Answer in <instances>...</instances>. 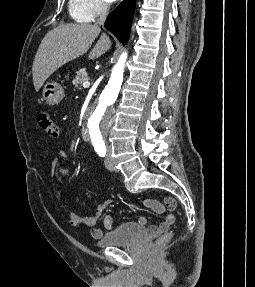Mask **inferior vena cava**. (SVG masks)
I'll use <instances>...</instances> for the list:
<instances>
[{
	"mask_svg": "<svg viewBox=\"0 0 255 287\" xmlns=\"http://www.w3.org/2000/svg\"><path fill=\"white\" fill-rule=\"evenodd\" d=\"M108 8H109L108 4H102L97 24H104L108 14Z\"/></svg>",
	"mask_w": 255,
	"mask_h": 287,
	"instance_id": "602c4592",
	"label": "inferior vena cava"
}]
</instances>
